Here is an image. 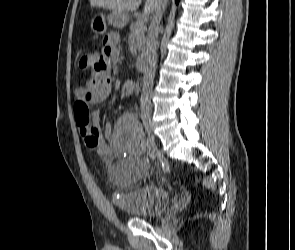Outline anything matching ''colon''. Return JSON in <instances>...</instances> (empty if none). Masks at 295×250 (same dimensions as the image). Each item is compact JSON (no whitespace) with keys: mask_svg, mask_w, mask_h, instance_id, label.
I'll use <instances>...</instances> for the list:
<instances>
[{"mask_svg":"<svg viewBox=\"0 0 295 250\" xmlns=\"http://www.w3.org/2000/svg\"><path fill=\"white\" fill-rule=\"evenodd\" d=\"M93 65L92 55L84 54L79 60V66L82 69H89ZM75 118L79 126L86 127L90 124L91 108L87 101L80 100L75 102Z\"/></svg>","mask_w":295,"mask_h":250,"instance_id":"1","label":"colon"}]
</instances>
